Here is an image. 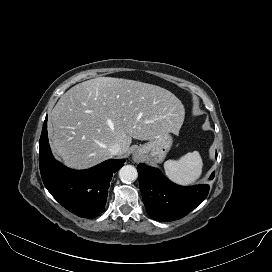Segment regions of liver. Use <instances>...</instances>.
I'll use <instances>...</instances> for the list:
<instances>
[{"instance_id": "liver-1", "label": "liver", "mask_w": 272, "mask_h": 272, "mask_svg": "<svg viewBox=\"0 0 272 272\" xmlns=\"http://www.w3.org/2000/svg\"><path fill=\"white\" fill-rule=\"evenodd\" d=\"M185 117L182 102L170 91L134 80L98 77L64 93L50 115L48 128L55 156L73 169H88L123 156L133 139L152 140L178 134Z\"/></svg>"}]
</instances>
